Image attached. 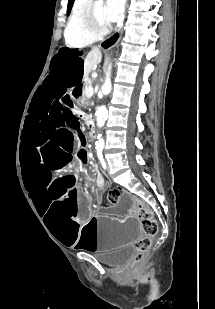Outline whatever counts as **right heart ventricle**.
<instances>
[{"label":"right heart ventricle","mask_w":215,"mask_h":309,"mask_svg":"<svg viewBox=\"0 0 215 309\" xmlns=\"http://www.w3.org/2000/svg\"><path fill=\"white\" fill-rule=\"evenodd\" d=\"M77 11L73 10L68 18L67 23H64V40L65 45L70 48H84L87 44L85 42H91L93 37L89 35L81 14H76ZM75 15V19L74 18Z\"/></svg>","instance_id":"right-heart-ventricle-1"}]
</instances>
